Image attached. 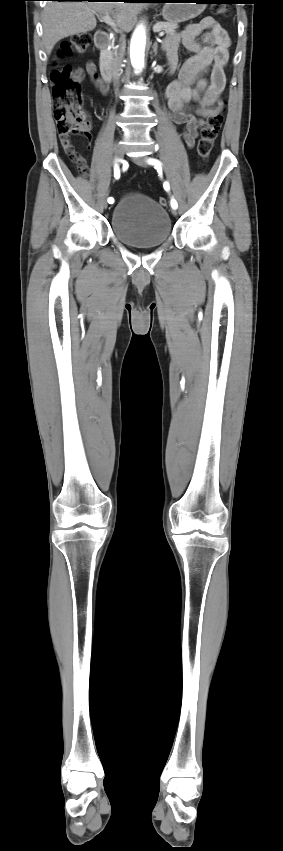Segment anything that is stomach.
<instances>
[{"mask_svg":"<svg viewBox=\"0 0 283 851\" xmlns=\"http://www.w3.org/2000/svg\"><path fill=\"white\" fill-rule=\"evenodd\" d=\"M162 15L170 23H180L197 17L206 8L207 0H166Z\"/></svg>","mask_w":283,"mask_h":851,"instance_id":"0dacf381","label":"stomach"}]
</instances>
